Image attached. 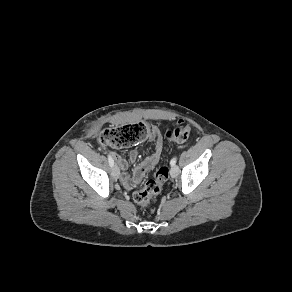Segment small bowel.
<instances>
[{"mask_svg":"<svg viewBox=\"0 0 292 292\" xmlns=\"http://www.w3.org/2000/svg\"><path fill=\"white\" fill-rule=\"evenodd\" d=\"M151 140L153 141L154 145L152 153L135 166L132 176H130V174L127 172V160L123 156L113 153V156L121 170L120 180L127 189H131L133 184L139 183L146 175V173L152 170L160 160L163 149V141L158 135V132L157 135ZM139 157L140 150L138 148H134L130 151L129 158L132 162H136Z\"/></svg>","mask_w":292,"mask_h":292,"instance_id":"c3829d8e","label":"small bowel"}]
</instances>
